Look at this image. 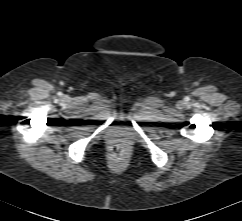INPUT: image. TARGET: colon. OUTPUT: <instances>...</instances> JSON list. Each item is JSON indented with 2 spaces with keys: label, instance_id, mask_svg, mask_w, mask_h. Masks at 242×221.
I'll use <instances>...</instances> for the list:
<instances>
[{
  "label": "colon",
  "instance_id": "obj_1",
  "mask_svg": "<svg viewBox=\"0 0 242 221\" xmlns=\"http://www.w3.org/2000/svg\"><path fill=\"white\" fill-rule=\"evenodd\" d=\"M113 150H114V152H116V153L118 152V150H117L116 148H114Z\"/></svg>",
  "mask_w": 242,
  "mask_h": 221
}]
</instances>
